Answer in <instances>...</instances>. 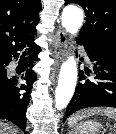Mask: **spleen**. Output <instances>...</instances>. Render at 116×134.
Wrapping results in <instances>:
<instances>
[{"label": "spleen", "instance_id": "obj_1", "mask_svg": "<svg viewBox=\"0 0 116 134\" xmlns=\"http://www.w3.org/2000/svg\"><path fill=\"white\" fill-rule=\"evenodd\" d=\"M95 114L105 115L113 120H116V109L113 108H92L88 110H82L69 118L68 124L70 127L75 125L78 120H81L87 116H93Z\"/></svg>", "mask_w": 116, "mask_h": 134}]
</instances>
